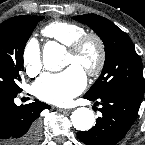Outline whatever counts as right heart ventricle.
<instances>
[{
    "label": "right heart ventricle",
    "instance_id": "1",
    "mask_svg": "<svg viewBox=\"0 0 145 145\" xmlns=\"http://www.w3.org/2000/svg\"><path fill=\"white\" fill-rule=\"evenodd\" d=\"M86 33V29L68 21H53L42 29V34L65 46H69L76 38Z\"/></svg>",
    "mask_w": 145,
    "mask_h": 145
}]
</instances>
